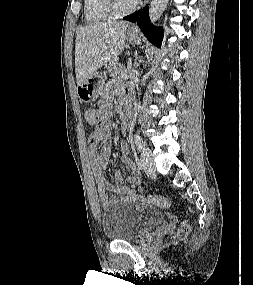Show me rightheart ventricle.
<instances>
[{
	"mask_svg": "<svg viewBox=\"0 0 253 285\" xmlns=\"http://www.w3.org/2000/svg\"><path fill=\"white\" fill-rule=\"evenodd\" d=\"M113 18L105 11L99 0H84V19L89 23H98Z\"/></svg>",
	"mask_w": 253,
	"mask_h": 285,
	"instance_id": "right-heart-ventricle-1",
	"label": "right heart ventricle"
}]
</instances>
